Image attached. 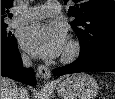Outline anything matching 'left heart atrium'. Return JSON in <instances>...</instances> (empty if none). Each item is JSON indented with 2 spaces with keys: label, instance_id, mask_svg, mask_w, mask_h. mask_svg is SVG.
I'll return each mask as SVG.
<instances>
[{
  "label": "left heart atrium",
  "instance_id": "obj_1",
  "mask_svg": "<svg viewBox=\"0 0 115 99\" xmlns=\"http://www.w3.org/2000/svg\"><path fill=\"white\" fill-rule=\"evenodd\" d=\"M66 31L59 24L35 23L25 29L22 46L34 56L55 58L65 49Z\"/></svg>",
  "mask_w": 115,
  "mask_h": 99
}]
</instances>
